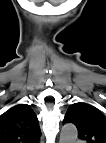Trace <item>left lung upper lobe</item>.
Here are the masks:
<instances>
[{"label": "left lung upper lobe", "mask_w": 106, "mask_h": 143, "mask_svg": "<svg viewBox=\"0 0 106 143\" xmlns=\"http://www.w3.org/2000/svg\"><path fill=\"white\" fill-rule=\"evenodd\" d=\"M73 123L78 137L87 143H106V115L87 103L72 104L64 118V123Z\"/></svg>", "instance_id": "5c2ea615"}]
</instances>
